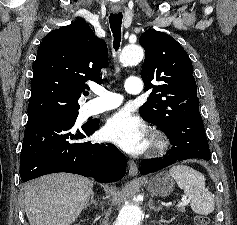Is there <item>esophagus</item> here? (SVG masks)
I'll return each mask as SVG.
<instances>
[{
    "label": "esophagus",
    "instance_id": "obj_1",
    "mask_svg": "<svg viewBox=\"0 0 237 225\" xmlns=\"http://www.w3.org/2000/svg\"><path fill=\"white\" fill-rule=\"evenodd\" d=\"M113 13H118V10L113 9ZM129 175L136 176L138 174V167L133 160H128Z\"/></svg>",
    "mask_w": 237,
    "mask_h": 225
}]
</instances>
